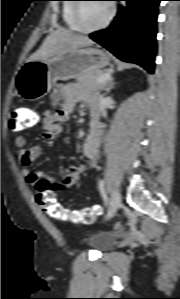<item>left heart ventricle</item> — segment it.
<instances>
[{
  "mask_svg": "<svg viewBox=\"0 0 180 299\" xmlns=\"http://www.w3.org/2000/svg\"><path fill=\"white\" fill-rule=\"evenodd\" d=\"M107 14L106 2L83 3L79 13L80 23L83 27H95L105 20Z\"/></svg>",
  "mask_w": 180,
  "mask_h": 299,
  "instance_id": "left-heart-ventricle-1",
  "label": "left heart ventricle"
}]
</instances>
